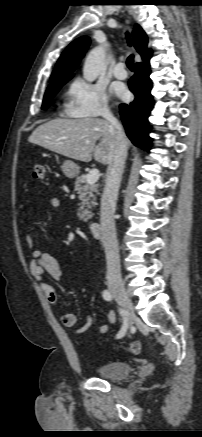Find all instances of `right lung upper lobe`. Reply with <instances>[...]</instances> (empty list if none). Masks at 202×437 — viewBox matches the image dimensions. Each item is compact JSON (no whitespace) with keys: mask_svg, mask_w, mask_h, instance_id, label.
<instances>
[{"mask_svg":"<svg viewBox=\"0 0 202 437\" xmlns=\"http://www.w3.org/2000/svg\"><path fill=\"white\" fill-rule=\"evenodd\" d=\"M134 47L141 55L142 60H147L152 55V50L147 48L148 39L144 30L135 25L132 31ZM90 44L88 36H82L74 40L60 56L55 69L51 75L50 85L60 80L71 79L72 72L78 66Z\"/></svg>","mask_w":202,"mask_h":437,"instance_id":"cb5924a9","label":"right lung upper lobe"}]
</instances>
